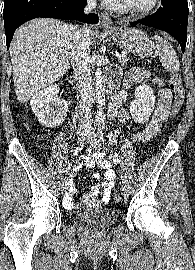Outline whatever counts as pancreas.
<instances>
[{
	"label": "pancreas",
	"instance_id": "1",
	"mask_svg": "<svg viewBox=\"0 0 195 270\" xmlns=\"http://www.w3.org/2000/svg\"><path fill=\"white\" fill-rule=\"evenodd\" d=\"M118 62L122 65L125 66L128 62V57H127V53H122L120 54V56L118 57Z\"/></svg>",
	"mask_w": 195,
	"mask_h": 270
}]
</instances>
